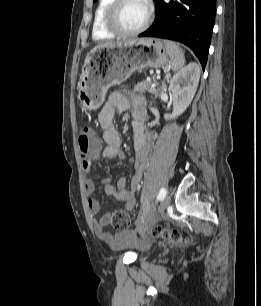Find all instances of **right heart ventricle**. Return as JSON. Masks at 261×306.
<instances>
[{
  "label": "right heart ventricle",
  "instance_id": "1",
  "mask_svg": "<svg viewBox=\"0 0 261 306\" xmlns=\"http://www.w3.org/2000/svg\"><path fill=\"white\" fill-rule=\"evenodd\" d=\"M112 0H99L94 11L92 22V37L96 41L107 40L115 37V34L107 29L104 23V15Z\"/></svg>",
  "mask_w": 261,
  "mask_h": 306
}]
</instances>
